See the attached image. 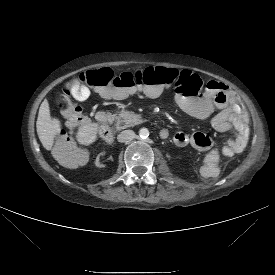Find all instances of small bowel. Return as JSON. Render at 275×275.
I'll list each match as a JSON object with an SVG mask.
<instances>
[{
	"mask_svg": "<svg viewBox=\"0 0 275 275\" xmlns=\"http://www.w3.org/2000/svg\"><path fill=\"white\" fill-rule=\"evenodd\" d=\"M176 99L182 109L191 116L197 119L210 118L211 125L216 131L231 133L234 153H240L246 147L249 138L248 116L238 95L228 86L221 82L210 81L203 93L193 94L185 91L178 93ZM173 139L179 144L191 143L197 152L203 154V162L199 167L203 178L212 180L220 176L221 155L213 148L214 141L211 136L203 132L192 134L175 132Z\"/></svg>",
	"mask_w": 275,
	"mask_h": 275,
	"instance_id": "obj_1",
	"label": "small bowel"
}]
</instances>
